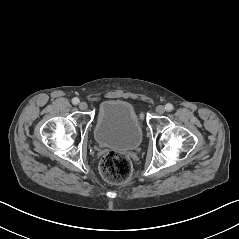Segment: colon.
<instances>
[{
    "mask_svg": "<svg viewBox=\"0 0 239 239\" xmlns=\"http://www.w3.org/2000/svg\"><path fill=\"white\" fill-rule=\"evenodd\" d=\"M100 174L108 182L120 184L130 179L132 164L130 160L116 152L105 154L100 162Z\"/></svg>",
    "mask_w": 239,
    "mask_h": 239,
    "instance_id": "1",
    "label": "colon"
}]
</instances>
